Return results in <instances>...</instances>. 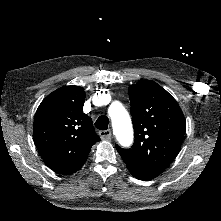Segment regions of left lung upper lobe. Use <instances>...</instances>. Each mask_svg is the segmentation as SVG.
Wrapping results in <instances>:
<instances>
[{
	"label": "left lung upper lobe",
	"instance_id": "left-lung-upper-lobe-1",
	"mask_svg": "<svg viewBox=\"0 0 221 221\" xmlns=\"http://www.w3.org/2000/svg\"><path fill=\"white\" fill-rule=\"evenodd\" d=\"M135 141L131 149H116L131 174L150 180L177 156L186 130L185 118L176 100L151 80L128 89Z\"/></svg>",
	"mask_w": 221,
	"mask_h": 221
}]
</instances>
